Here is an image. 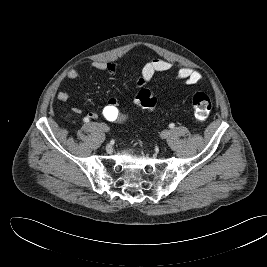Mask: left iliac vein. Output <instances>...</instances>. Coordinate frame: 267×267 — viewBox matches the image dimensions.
<instances>
[{"mask_svg":"<svg viewBox=\"0 0 267 267\" xmlns=\"http://www.w3.org/2000/svg\"><path fill=\"white\" fill-rule=\"evenodd\" d=\"M170 130H164L161 132V138L166 139L170 136Z\"/></svg>","mask_w":267,"mask_h":267,"instance_id":"left-iliac-vein-1","label":"left iliac vein"}]
</instances>
